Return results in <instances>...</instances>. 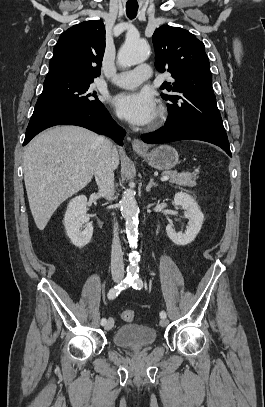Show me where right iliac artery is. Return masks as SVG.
I'll use <instances>...</instances> for the list:
<instances>
[{"label": "right iliac artery", "mask_w": 265, "mask_h": 407, "mask_svg": "<svg viewBox=\"0 0 265 407\" xmlns=\"http://www.w3.org/2000/svg\"><path fill=\"white\" fill-rule=\"evenodd\" d=\"M129 286H131L130 284V279L125 278L120 284H118L117 286L111 288L108 292V298L110 300L115 299L122 290H125L126 288H128ZM106 319L102 318L101 319V325H105L106 324Z\"/></svg>", "instance_id": "1"}]
</instances>
